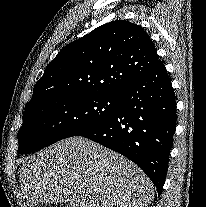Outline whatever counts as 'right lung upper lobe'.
Instances as JSON below:
<instances>
[{"label":"right lung upper lobe","mask_w":206,"mask_h":207,"mask_svg":"<svg viewBox=\"0 0 206 207\" xmlns=\"http://www.w3.org/2000/svg\"><path fill=\"white\" fill-rule=\"evenodd\" d=\"M159 61L144 29L126 20L112 21L57 54L34 86L25 110L55 98L120 94Z\"/></svg>","instance_id":"cb5924a9"}]
</instances>
